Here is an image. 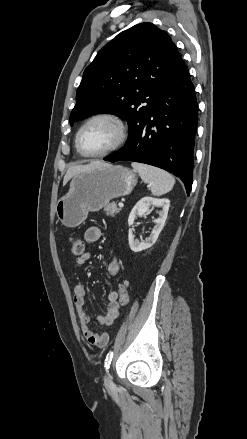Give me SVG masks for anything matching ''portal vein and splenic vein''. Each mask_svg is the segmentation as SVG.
Segmentation results:
<instances>
[{"label": "portal vein and splenic vein", "instance_id": "obj_1", "mask_svg": "<svg viewBox=\"0 0 247 439\" xmlns=\"http://www.w3.org/2000/svg\"><path fill=\"white\" fill-rule=\"evenodd\" d=\"M118 206H119V207H124L123 202H119V203H118Z\"/></svg>", "mask_w": 247, "mask_h": 439}]
</instances>
